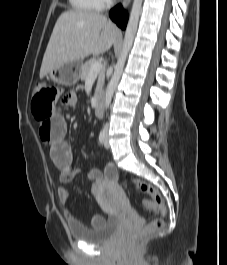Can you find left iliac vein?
<instances>
[{"label": "left iliac vein", "mask_w": 227, "mask_h": 265, "mask_svg": "<svg viewBox=\"0 0 227 265\" xmlns=\"http://www.w3.org/2000/svg\"><path fill=\"white\" fill-rule=\"evenodd\" d=\"M104 146L105 148H109V136H108V130H106V133H105V141H104Z\"/></svg>", "instance_id": "1"}]
</instances>
